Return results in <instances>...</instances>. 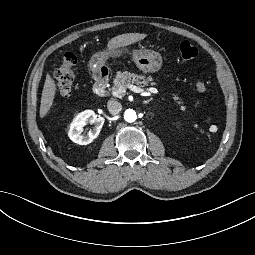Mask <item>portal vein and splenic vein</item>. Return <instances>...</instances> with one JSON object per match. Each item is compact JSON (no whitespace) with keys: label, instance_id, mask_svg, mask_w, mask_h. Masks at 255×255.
<instances>
[{"label":"portal vein and splenic vein","instance_id":"1","mask_svg":"<svg viewBox=\"0 0 255 255\" xmlns=\"http://www.w3.org/2000/svg\"><path fill=\"white\" fill-rule=\"evenodd\" d=\"M131 89H132V91L139 93L140 96H144V97L152 96V94H159V91L157 88H150V90L147 92H142L140 87H137V86H131ZM124 92H125L124 89L112 88L110 91V95L115 98H121L123 96Z\"/></svg>","mask_w":255,"mask_h":255}]
</instances>
